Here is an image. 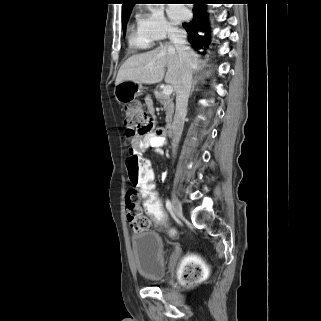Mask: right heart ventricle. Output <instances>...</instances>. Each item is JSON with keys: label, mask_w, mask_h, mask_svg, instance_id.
<instances>
[{"label": "right heart ventricle", "mask_w": 321, "mask_h": 321, "mask_svg": "<svg viewBox=\"0 0 321 321\" xmlns=\"http://www.w3.org/2000/svg\"><path fill=\"white\" fill-rule=\"evenodd\" d=\"M128 42L133 49L145 50L153 45L154 40L143 33L137 26L130 32Z\"/></svg>", "instance_id": "obj_1"}]
</instances>
